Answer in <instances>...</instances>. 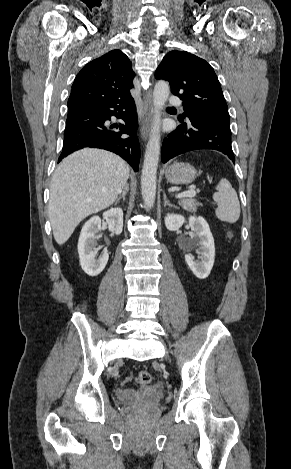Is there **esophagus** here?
<instances>
[{
	"instance_id": "1",
	"label": "esophagus",
	"mask_w": 291,
	"mask_h": 469,
	"mask_svg": "<svg viewBox=\"0 0 291 469\" xmlns=\"http://www.w3.org/2000/svg\"><path fill=\"white\" fill-rule=\"evenodd\" d=\"M153 104L151 89L144 92L143 96V119L140 128V136L145 141L150 132V125L152 120Z\"/></svg>"
}]
</instances>
